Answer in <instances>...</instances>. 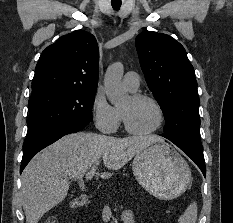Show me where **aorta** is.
<instances>
[{
  "label": "aorta",
  "mask_w": 233,
  "mask_h": 223,
  "mask_svg": "<svg viewBox=\"0 0 233 223\" xmlns=\"http://www.w3.org/2000/svg\"><path fill=\"white\" fill-rule=\"evenodd\" d=\"M123 74L124 68L123 64H120V62L109 66L105 74V92L109 102H111L113 106L124 104V102L129 98L127 90H125L121 84Z\"/></svg>",
  "instance_id": "1"
}]
</instances>
